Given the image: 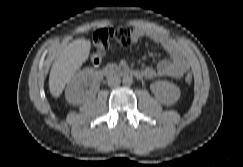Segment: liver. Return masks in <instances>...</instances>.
Instances as JSON below:
<instances>
[{
  "label": "liver",
  "instance_id": "liver-1",
  "mask_svg": "<svg viewBox=\"0 0 243 167\" xmlns=\"http://www.w3.org/2000/svg\"><path fill=\"white\" fill-rule=\"evenodd\" d=\"M90 48V41L80 38L59 51L49 75V90L53 97L58 98L61 95L65 85L88 59Z\"/></svg>",
  "mask_w": 243,
  "mask_h": 167
}]
</instances>
